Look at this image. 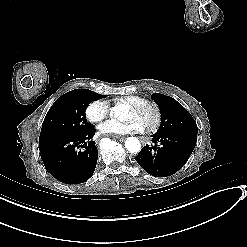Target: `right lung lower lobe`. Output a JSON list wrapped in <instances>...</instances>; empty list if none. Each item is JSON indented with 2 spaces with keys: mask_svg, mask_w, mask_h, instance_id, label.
I'll use <instances>...</instances> for the list:
<instances>
[{
  "mask_svg": "<svg viewBox=\"0 0 247 247\" xmlns=\"http://www.w3.org/2000/svg\"><path fill=\"white\" fill-rule=\"evenodd\" d=\"M96 130L77 135H62L39 141L40 155L46 170L66 184L87 181L95 171L98 152L91 141ZM79 148H85L84 151Z\"/></svg>",
  "mask_w": 247,
  "mask_h": 247,
  "instance_id": "1",
  "label": "right lung lower lobe"
}]
</instances>
